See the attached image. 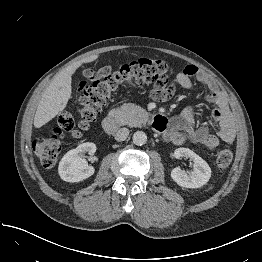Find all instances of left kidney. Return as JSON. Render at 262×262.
I'll use <instances>...</instances> for the list:
<instances>
[{
    "instance_id": "obj_1",
    "label": "left kidney",
    "mask_w": 262,
    "mask_h": 262,
    "mask_svg": "<svg viewBox=\"0 0 262 262\" xmlns=\"http://www.w3.org/2000/svg\"><path fill=\"white\" fill-rule=\"evenodd\" d=\"M176 158H190L193 164L192 171L182 170L176 167L171 171V178L179 186L184 188H200L205 185L211 177V168L205 160L188 148H178L174 152Z\"/></svg>"
}]
</instances>
